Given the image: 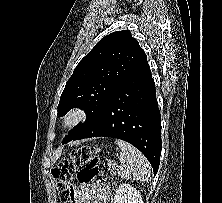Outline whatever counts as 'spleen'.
Here are the masks:
<instances>
[{
  "instance_id": "3e777b00",
  "label": "spleen",
  "mask_w": 222,
  "mask_h": 203,
  "mask_svg": "<svg viewBox=\"0 0 222 203\" xmlns=\"http://www.w3.org/2000/svg\"><path fill=\"white\" fill-rule=\"evenodd\" d=\"M120 147V162L118 174L123 178L148 182L151 180V166L146 157L134 146L123 140H116Z\"/></svg>"
}]
</instances>
